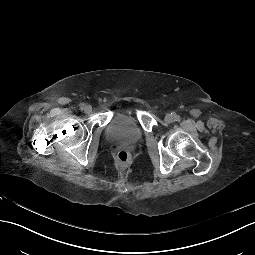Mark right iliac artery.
I'll use <instances>...</instances> for the list:
<instances>
[{
	"label": "right iliac artery",
	"instance_id": "1",
	"mask_svg": "<svg viewBox=\"0 0 255 255\" xmlns=\"http://www.w3.org/2000/svg\"><path fill=\"white\" fill-rule=\"evenodd\" d=\"M79 107H80L81 110H83V109L85 108V104H84V103H81V104L79 105Z\"/></svg>",
	"mask_w": 255,
	"mask_h": 255
}]
</instances>
